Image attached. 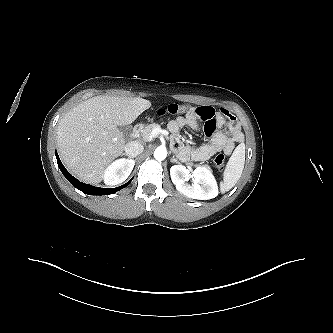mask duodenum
<instances>
[{"mask_svg":"<svg viewBox=\"0 0 333 333\" xmlns=\"http://www.w3.org/2000/svg\"><path fill=\"white\" fill-rule=\"evenodd\" d=\"M143 127L144 125L142 123L136 124L133 128V136H138L141 133Z\"/></svg>","mask_w":333,"mask_h":333,"instance_id":"410a0bca","label":"duodenum"}]
</instances>
